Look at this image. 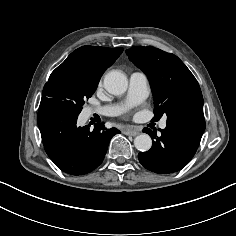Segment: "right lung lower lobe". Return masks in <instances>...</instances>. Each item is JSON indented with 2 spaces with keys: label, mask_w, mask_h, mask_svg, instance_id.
<instances>
[{
  "label": "right lung lower lobe",
  "mask_w": 236,
  "mask_h": 236,
  "mask_svg": "<svg viewBox=\"0 0 236 236\" xmlns=\"http://www.w3.org/2000/svg\"><path fill=\"white\" fill-rule=\"evenodd\" d=\"M79 113L65 102L47 98L41 100L38 125L45 151L63 172L83 175L96 169L103 161L110 139L120 133L104 124L76 125Z\"/></svg>",
  "instance_id": "obj_1"
}]
</instances>
